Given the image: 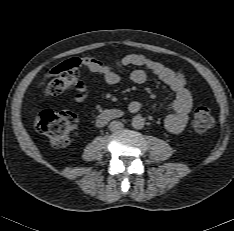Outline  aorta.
I'll return each instance as SVG.
<instances>
[{"label":"aorta","instance_id":"obj_1","mask_svg":"<svg viewBox=\"0 0 234 231\" xmlns=\"http://www.w3.org/2000/svg\"><path fill=\"white\" fill-rule=\"evenodd\" d=\"M145 124V119L141 115H136L132 118V126L135 129H142Z\"/></svg>","mask_w":234,"mask_h":231}]
</instances>
